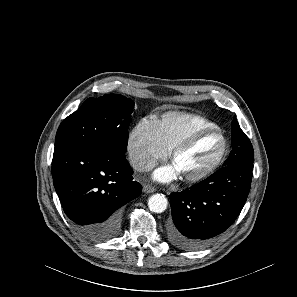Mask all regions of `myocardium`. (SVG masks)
Listing matches in <instances>:
<instances>
[{
    "label": "myocardium",
    "instance_id": "1",
    "mask_svg": "<svg viewBox=\"0 0 297 297\" xmlns=\"http://www.w3.org/2000/svg\"><path fill=\"white\" fill-rule=\"evenodd\" d=\"M206 134H216L220 137L222 141V149L217 157V159L204 171L192 175V176H186L182 177V180L187 184H194L201 182L211 175H213L220 166L224 163L227 153H228V141L224 133L217 127H205V128H199L192 132H190L188 135H186L184 138H182L170 151V160L173 162V160L176 158V156L183 152L184 150L188 149L198 138H200L203 135Z\"/></svg>",
    "mask_w": 297,
    "mask_h": 297
}]
</instances>
